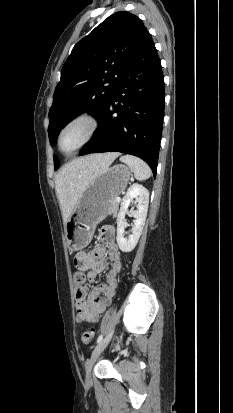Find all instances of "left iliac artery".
<instances>
[{
	"mask_svg": "<svg viewBox=\"0 0 233 413\" xmlns=\"http://www.w3.org/2000/svg\"><path fill=\"white\" fill-rule=\"evenodd\" d=\"M102 338H103V335H100L97 339V343H99L102 340Z\"/></svg>",
	"mask_w": 233,
	"mask_h": 413,
	"instance_id": "44dca946",
	"label": "left iliac artery"
}]
</instances>
